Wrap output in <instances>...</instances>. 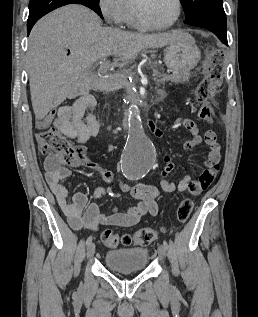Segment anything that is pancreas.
I'll use <instances>...</instances> for the list:
<instances>
[{"label":"pancreas","instance_id":"1","mask_svg":"<svg viewBox=\"0 0 258 317\" xmlns=\"http://www.w3.org/2000/svg\"><path fill=\"white\" fill-rule=\"evenodd\" d=\"M103 79V78H102ZM172 79L170 77H162V78H157V83L154 84V92L155 93H160L161 96H166L167 95V90L163 89L160 83L162 84H171ZM117 84L116 88L118 90H123L124 88L127 90V92H133V87L131 83H126V78H120L119 77H114V78H108L107 80H104V86H97V88H106L108 84ZM147 91L149 90L148 88L146 89Z\"/></svg>","mask_w":258,"mask_h":317}]
</instances>
